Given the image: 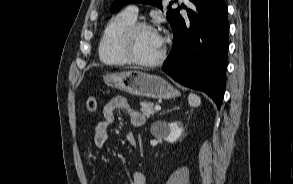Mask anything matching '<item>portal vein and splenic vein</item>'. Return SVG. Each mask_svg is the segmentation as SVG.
I'll return each mask as SVG.
<instances>
[{
  "label": "portal vein and splenic vein",
  "instance_id": "obj_1",
  "mask_svg": "<svg viewBox=\"0 0 293 184\" xmlns=\"http://www.w3.org/2000/svg\"><path fill=\"white\" fill-rule=\"evenodd\" d=\"M154 109H155L156 111H160V110H161V107H160L159 105H156V106L154 107Z\"/></svg>",
  "mask_w": 293,
  "mask_h": 184
}]
</instances>
